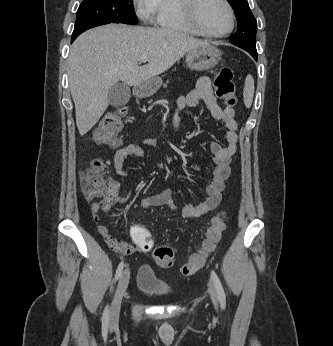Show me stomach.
Listing matches in <instances>:
<instances>
[{"instance_id":"0dacf381","label":"stomach","mask_w":333,"mask_h":346,"mask_svg":"<svg viewBox=\"0 0 333 346\" xmlns=\"http://www.w3.org/2000/svg\"><path fill=\"white\" fill-rule=\"evenodd\" d=\"M220 59V51L212 45H206L189 51L185 61L190 69L204 71L215 67ZM161 85L162 79L160 77H153L136 86L134 88V94L138 98H147L156 93Z\"/></svg>"}]
</instances>
